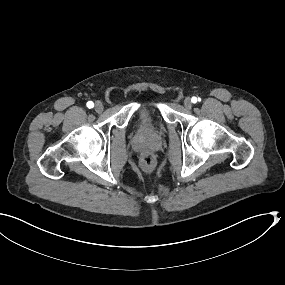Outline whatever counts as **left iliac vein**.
I'll list each match as a JSON object with an SVG mask.
<instances>
[{"mask_svg": "<svg viewBox=\"0 0 285 285\" xmlns=\"http://www.w3.org/2000/svg\"><path fill=\"white\" fill-rule=\"evenodd\" d=\"M184 106L187 109H191L192 108V101H191V99L189 97H186L184 99Z\"/></svg>", "mask_w": 285, "mask_h": 285, "instance_id": "left-iliac-vein-1", "label": "left iliac vein"}]
</instances>
